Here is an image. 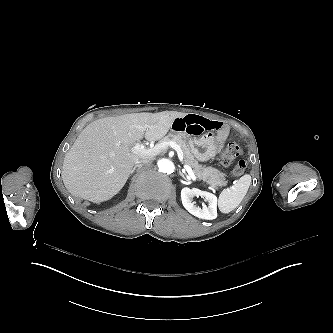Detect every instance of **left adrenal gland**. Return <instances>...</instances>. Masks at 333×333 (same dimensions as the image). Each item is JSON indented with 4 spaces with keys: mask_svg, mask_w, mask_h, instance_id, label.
Segmentation results:
<instances>
[{
    "mask_svg": "<svg viewBox=\"0 0 333 333\" xmlns=\"http://www.w3.org/2000/svg\"><path fill=\"white\" fill-rule=\"evenodd\" d=\"M179 175H180L184 180L188 181L187 178L184 176V174L181 172V170H179Z\"/></svg>",
    "mask_w": 333,
    "mask_h": 333,
    "instance_id": "left-adrenal-gland-1",
    "label": "left adrenal gland"
}]
</instances>
